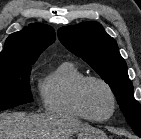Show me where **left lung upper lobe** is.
<instances>
[{
  "mask_svg": "<svg viewBox=\"0 0 141 139\" xmlns=\"http://www.w3.org/2000/svg\"><path fill=\"white\" fill-rule=\"evenodd\" d=\"M62 44L86 61L111 87L135 133H141V107L133 97L127 65L116 41L97 22L62 27L57 32Z\"/></svg>",
  "mask_w": 141,
  "mask_h": 139,
  "instance_id": "1",
  "label": "left lung upper lobe"
}]
</instances>
